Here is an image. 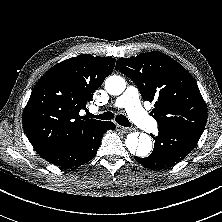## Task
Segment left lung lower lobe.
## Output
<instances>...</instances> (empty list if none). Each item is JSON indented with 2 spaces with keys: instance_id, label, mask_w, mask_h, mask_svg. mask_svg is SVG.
<instances>
[{
  "instance_id": "1",
  "label": "left lung lower lobe",
  "mask_w": 222,
  "mask_h": 222,
  "mask_svg": "<svg viewBox=\"0 0 222 222\" xmlns=\"http://www.w3.org/2000/svg\"><path fill=\"white\" fill-rule=\"evenodd\" d=\"M154 150L146 158L135 157L140 164L151 169H165L183 160L198 143L202 132L171 125H159Z\"/></svg>"
}]
</instances>
